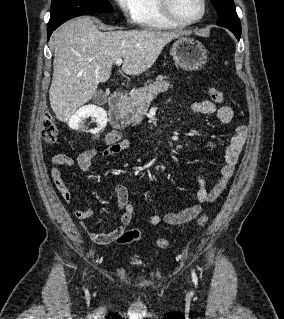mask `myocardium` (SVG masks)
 <instances>
[{"instance_id":"1","label":"myocardium","mask_w":284,"mask_h":319,"mask_svg":"<svg viewBox=\"0 0 284 319\" xmlns=\"http://www.w3.org/2000/svg\"><path fill=\"white\" fill-rule=\"evenodd\" d=\"M159 8L162 14L171 22L180 25V26H189L196 24L204 19L207 13V2L206 0H201L202 11L199 17L193 20H184L177 16L173 8L172 0H158Z\"/></svg>"}]
</instances>
